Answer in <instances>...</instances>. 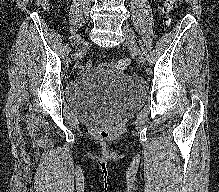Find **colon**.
I'll return each instance as SVG.
<instances>
[{
  "mask_svg": "<svg viewBox=\"0 0 219 192\" xmlns=\"http://www.w3.org/2000/svg\"><path fill=\"white\" fill-rule=\"evenodd\" d=\"M35 4L44 8H50L52 6L51 0H34ZM177 0H164L161 7L160 12L163 18V22L168 24L171 21V12L176 5ZM131 64V60L129 58L120 59L115 62H110V65L113 66L117 71L123 72L125 71ZM91 65V63H89Z\"/></svg>",
  "mask_w": 219,
  "mask_h": 192,
  "instance_id": "colon-1",
  "label": "colon"
}]
</instances>
